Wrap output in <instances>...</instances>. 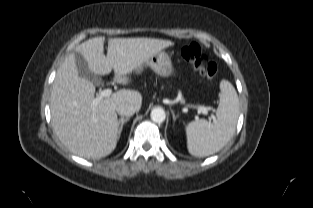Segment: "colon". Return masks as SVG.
I'll return each instance as SVG.
<instances>
[{
  "mask_svg": "<svg viewBox=\"0 0 313 208\" xmlns=\"http://www.w3.org/2000/svg\"><path fill=\"white\" fill-rule=\"evenodd\" d=\"M182 57L188 61L202 76L214 79L217 75V65L203 53L199 44L192 42L181 50Z\"/></svg>",
  "mask_w": 313,
  "mask_h": 208,
  "instance_id": "5ec220e1",
  "label": "colon"
}]
</instances>
